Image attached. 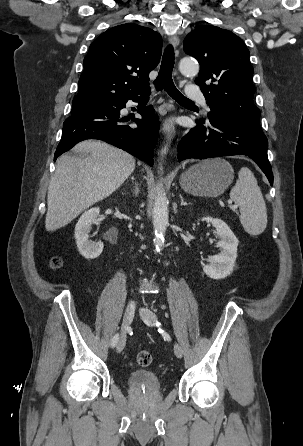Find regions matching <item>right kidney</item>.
<instances>
[{
	"instance_id": "1",
	"label": "right kidney",
	"mask_w": 303,
	"mask_h": 446,
	"mask_svg": "<svg viewBox=\"0 0 303 446\" xmlns=\"http://www.w3.org/2000/svg\"><path fill=\"white\" fill-rule=\"evenodd\" d=\"M98 215L99 208H91L85 211L79 218L74 231L78 251L88 260L99 257L104 247L101 241L89 240L91 225Z\"/></svg>"
}]
</instances>
